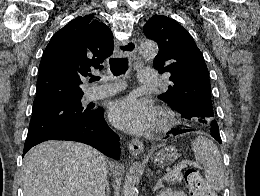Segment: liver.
<instances>
[{
    "instance_id": "liver-1",
    "label": "liver",
    "mask_w": 260,
    "mask_h": 196,
    "mask_svg": "<svg viewBox=\"0 0 260 196\" xmlns=\"http://www.w3.org/2000/svg\"><path fill=\"white\" fill-rule=\"evenodd\" d=\"M21 182L24 196L105 194L107 158L86 144L48 140L27 152Z\"/></svg>"
}]
</instances>
